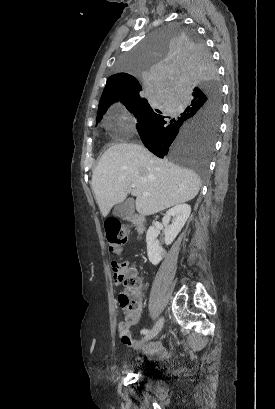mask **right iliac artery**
Returning a JSON list of instances; mask_svg holds the SVG:
<instances>
[{"mask_svg":"<svg viewBox=\"0 0 275 409\" xmlns=\"http://www.w3.org/2000/svg\"><path fill=\"white\" fill-rule=\"evenodd\" d=\"M147 333H149L148 330H145V329H144V330L141 331V334H147Z\"/></svg>","mask_w":275,"mask_h":409,"instance_id":"right-iliac-artery-1","label":"right iliac artery"}]
</instances>
